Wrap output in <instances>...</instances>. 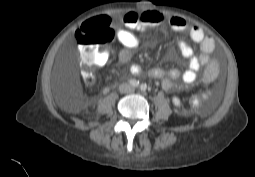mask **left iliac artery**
I'll return each instance as SVG.
<instances>
[{
  "label": "left iliac artery",
  "mask_w": 255,
  "mask_h": 177,
  "mask_svg": "<svg viewBox=\"0 0 255 177\" xmlns=\"http://www.w3.org/2000/svg\"><path fill=\"white\" fill-rule=\"evenodd\" d=\"M146 88H147L146 84H142V85L140 86V89H141L142 91H145Z\"/></svg>",
  "instance_id": "44dca946"
}]
</instances>
